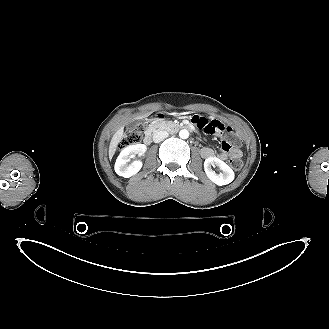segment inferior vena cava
<instances>
[{
	"instance_id": "1",
	"label": "inferior vena cava",
	"mask_w": 329,
	"mask_h": 329,
	"mask_svg": "<svg viewBox=\"0 0 329 329\" xmlns=\"http://www.w3.org/2000/svg\"><path fill=\"white\" fill-rule=\"evenodd\" d=\"M168 136H169V134L166 131H157L153 135V141L155 143H159V142L163 141L165 138H167Z\"/></svg>"
}]
</instances>
